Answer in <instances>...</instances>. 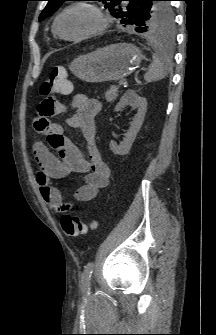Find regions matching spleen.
<instances>
[{"instance_id":"spleen-1","label":"spleen","mask_w":216,"mask_h":335,"mask_svg":"<svg viewBox=\"0 0 216 335\" xmlns=\"http://www.w3.org/2000/svg\"><path fill=\"white\" fill-rule=\"evenodd\" d=\"M155 50L153 54V62L148 72L144 75L147 82L163 79L171 69V62L163 50L154 42H150Z\"/></svg>"}]
</instances>
